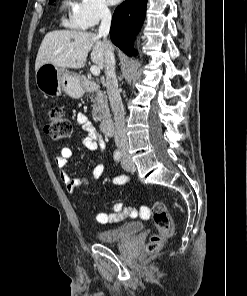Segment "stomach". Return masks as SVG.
<instances>
[{"label":"stomach","instance_id":"stomach-1","mask_svg":"<svg viewBox=\"0 0 247 296\" xmlns=\"http://www.w3.org/2000/svg\"><path fill=\"white\" fill-rule=\"evenodd\" d=\"M35 81L38 89L50 97H58L65 92L72 98H79L84 93L76 75L71 74L66 68L51 63H45L37 69Z\"/></svg>","mask_w":247,"mask_h":296}]
</instances>
